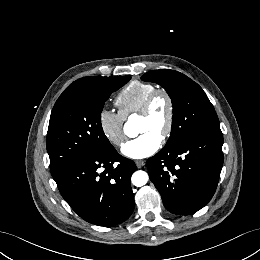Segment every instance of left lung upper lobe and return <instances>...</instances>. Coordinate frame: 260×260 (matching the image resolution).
<instances>
[{"instance_id": "obj_1", "label": "left lung upper lobe", "mask_w": 260, "mask_h": 260, "mask_svg": "<svg viewBox=\"0 0 260 260\" xmlns=\"http://www.w3.org/2000/svg\"><path fill=\"white\" fill-rule=\"evenodd\" d=\"M141 79L161 85L172 100V128L165 146H174L196 133L220 130L217 114L207 95L184 74L161 69L150 71Z\"/></svg>"}]
</instances>
